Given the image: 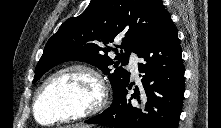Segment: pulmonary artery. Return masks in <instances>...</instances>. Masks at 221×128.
<instances>
[{
  "instance_id": "1",
  "label": "pulmonary artery",
  "mask_w": 221,
  "mask_h": 128,
  "mask_svg": "<svg viewBox=\"0 0 221 128\" xmlns=\"http://www.w3.org/2000/svg\"><path fill=\"white\" fill-rule=\"evenodd\" d=\"M129 68L132 71L133 75L135 77L138 76L139 71H138V58L135 55H131L129 57Z\"/></svg>"
}]
</instances>
